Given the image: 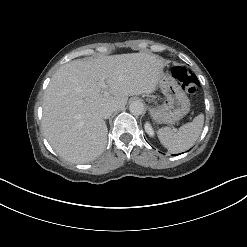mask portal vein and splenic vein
I'll use <instances>...</instances> for the list:
<instances>
[{"instance_id":"1","label":"portal vein and splenic vein","mask_w":247,"mask_h":247,"mask_svg":"<svg viewBox=\"0 0 247 247\" xmlns=\"http://www.w3.org/2000/svg\"><path fill=\"white\" fill-rule=\"evenodd\" d=\"M99 84H100V86L104 89L103 95H104V96H109V95H110V91L108 90V88H107V86H106L104 80H101Z\"/></svg>"}]
</instances>
